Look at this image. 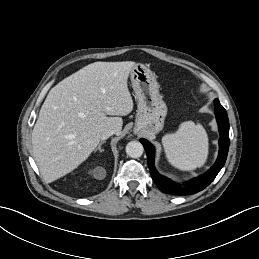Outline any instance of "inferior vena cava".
<instances>
[{"instance_id": "inferior-vena-cava-1", "label": "inferior vena cava", "mask_w": 259, "mask_h": 259, "mask_svg": "<svg viewBox=\"0 0 259 259\" xmlns=\"http://www.w3.org/2000/svg\"><path fill=\"white\" fill-rule=\"evenodd\" d=\"M113 134H115V131L113 129H106L100 136L101 140H106L108 139L110 136H112Z\"/></svg>"}]
</instances>
